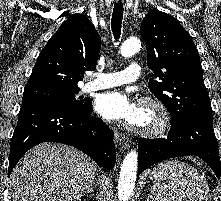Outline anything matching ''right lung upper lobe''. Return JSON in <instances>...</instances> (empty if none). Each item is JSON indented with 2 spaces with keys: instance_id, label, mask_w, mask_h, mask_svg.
<instances>
[{
  "instance_id": "cb5924a9",
  "label": "right lung upper lobe",
  "mask_w": 221,
  "mask_h": 201,
  "mask_svg": "<svg viewBox=\"0 0 221 201\" xmlns=\"http://www.w3.org/2000/svg\"><path fill=\"white\" fill-rule=\"evenodd\" d=\"M101 38L82 14L70 16L39 54L25 88H79L85 71L96 70Z\"/></svg>"
}]
</instances>
